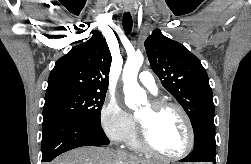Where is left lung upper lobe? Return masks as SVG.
<instances>
[{
	"instance_id": "1",
	"label": "left lung upper lobe",
	"mask_w": 251,
	"mask_h": 164,
	"mask_svg": "<svg viewBox=\"0 0 251 164\" xmlns=\"http://www.w3.org/2000/svg\"><path fill=\"white\" fill-rule=\"evenodd\" d=\"M144 45L152 70L189 116L194 138L203 132L215 134L212 90L199 59L159 30Z\"/></svg>"
}]
</instances>
